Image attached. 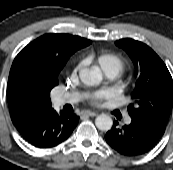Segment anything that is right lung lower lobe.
Instances as JSON below:
<instances>
[{"label":"right lung lower lobe","instance_id":"right-lung-lower-lobe-1","mask_svg":"<svg viewBox=\"0 0 173 170\" xmlns=\"http://www.w3.org/2000/svg\"><path fill=\"white\" fill-rule=\"evenodd\" d=\"M78 120L75 114L57 113L51 109L24 115L12 122L28 143L37 148H50L66 140Z\"/></svg>","mask_w":173,"mask_h":170}]
</instances>
